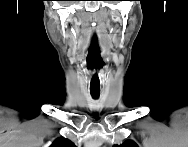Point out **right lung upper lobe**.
<instances>
[{
	"label": "right lung upper lobe",
	"mask_w": 188,
	"mask_h": 147,
	"mask_svg": "<svg viewBox=\"0 0 188 147\" xmlns=\"http://www.w3.org/2000/svg\"><path fill=\"white\" fill-rule=\"evenodd\" d=\"M75 145L68 139L59 138L50 147H74Z\"/></svg>",
	"instance_id": "obj_1"
}]
</instances>
